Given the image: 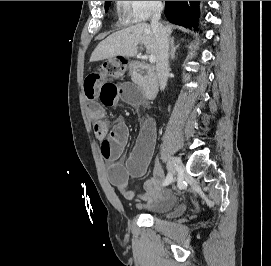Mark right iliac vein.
Listing matches in <instances>:
<instances>
[{"mask_svg": "<svg viewBox=\"0 0 271 266\" xmlns=\"http://www.w3.org/2000/svg\"><path fill=\"white\" fill-rule=\"evenodd\" d=\"M168 168L172 175L183 169L181 161L177 157H171L168 162Z\"/></svg>", "mask_w": 271, "mask_h": 266, "instance_id": "63e3f726", "label": "right iliac vein"}]
</instances>
